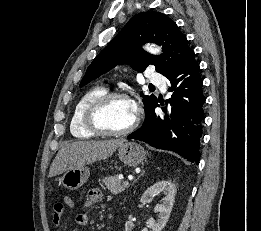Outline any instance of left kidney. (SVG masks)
Segmentation results:
<instances>
[{"label": "left kidney", "instance_id": "1", "mask_svg": "<svg viewBox=\"0 0 261 231\" xmlns=\"http://www.w3.org/2000/svg\"><path fill=\"white\" fill-rule=\"evenodd\" d=\"M158 193H163L165 195L163 202L157 204L154 208V212L159 213L158 219L154 220L150 218L147 221V226L151 231H161L170 216V213L173 208V203L175 199L176 187L170 181H159L154 185L150 186L140 198L142 203H150L154 195ZM134 224L131 221H127L125 224V231H132ZM142 231H148L147 228H144Z\"/></svg>", "mask_w": 261, "mask_h": 231}]
</instances>
